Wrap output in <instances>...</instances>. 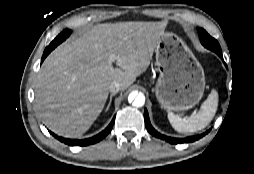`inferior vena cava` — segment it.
Returning <instances> with one entry per match:
<instances>
[{"mask_svg":"<svg viewBox=\"0 0 254 174\" xmlns=\"http://www.w3.org/2000/svg\"><path fill=\"white\" fill-rule=\"evenodd\" d=\"M121 89V85L118 81H113L109 86V91L112 93H116Z\"/></svg>","mask_w":254,"mask_h":174,"instance_id":"1","label":"inferior vena cava"}]
</instances>
